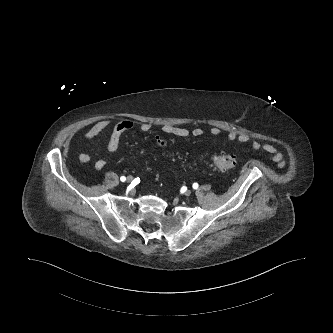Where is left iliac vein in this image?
Wrapping results in <instances>:
<instances>
[{"mask_svg":"<svg viewBox=\"0 0 333 333\" xmlns=\"http://www.w3.org/2000/svg\"><path fill=\"white\" fill-rule=\"evenodd\" d=\"M184 195H185V196H190V195H191V191H190V190H186V191L184 192Z\"/></svg>","mask_w":333,"mask_h":333,"instance_id":"1","label":"left iliac vein"}]
</instances>
